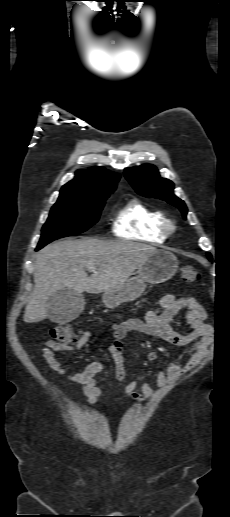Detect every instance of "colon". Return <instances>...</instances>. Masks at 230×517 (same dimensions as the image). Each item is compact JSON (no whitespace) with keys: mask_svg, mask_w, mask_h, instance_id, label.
Here are the masks:
<instances>
[{"mask_svg":"<svg viewBox=\"0 0 230 517\" xmlns=\"http://www.w3.org/2000/svg\"><path fill=\"white\" fill-rule=\"evenodd\" d=\"M180 277L187 283H194L199 279L198 271L190 265L180 268ZM49 335L61 343H74L77 340V333L68 325L60 324L49 329Z\"/></svg>","mask_w":230,"mask_h":517,"instance_id":"5ec220e1","label":"colon"}]
</instances>
